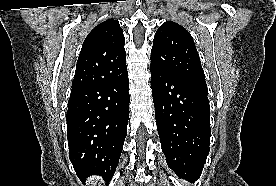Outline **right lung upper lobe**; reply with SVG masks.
<instances>
[{
    "label": "right lung upper lobe",
    "mask_w": 276,
    "mask_h": 186,
    "mask_svg": "<svg viewBox=\"0 0 276 186\" xmlns=\"http://www.w3.org/2000/svg\"><path fill=\"white\" fill-rule=\"evenodd\" d=\"M124 45L118 20L108 19L97 25L81 48L72 90L112 83L127 75Z\"/></svg>",
    "instance_id": "cb5924a9"
}]
</instances>
